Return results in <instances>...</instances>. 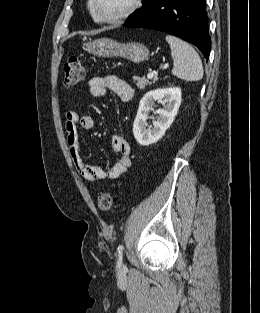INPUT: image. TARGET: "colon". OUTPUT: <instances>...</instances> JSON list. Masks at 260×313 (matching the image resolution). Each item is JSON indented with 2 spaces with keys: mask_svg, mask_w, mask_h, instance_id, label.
Instances as JSON below:
<instances>
[{
  "mask_svg": "<svg viewBox=\"0 0 260 313\" xmlns=\"http://www.w3.org/2000/svg\"><path fill=\"white\" fill-rule=\"evenodd\" d=\"M85 68L78 57H69L64 64L63 84L67 88L75 87L85 79ZM97 205L102 211H110L113 205V196L109 192L98 195Z\"/></svg>",
  "mask_w": 260,
  "mask_h": 313,
  "instance_id": "1",
  "label": "colon"
}]
</instances>
